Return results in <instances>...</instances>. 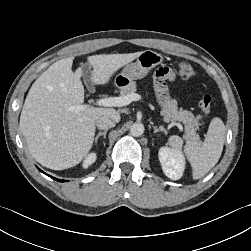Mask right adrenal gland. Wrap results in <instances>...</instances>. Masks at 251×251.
I'll list each match as a JSON object with an SVG mask.
<instances>
[{
  "label": "right adrenal gland",
  "instance_id": "1",
  "mask_svg": "<svg viewBox=\"0 0 251 251\" xmlns=\"http://www.w3.org/2000/svg\"><path fill=\"white\" fill-rule=\"evenodd\" d=\"M106 134H107V130H104L103 132H99L96 137H95V145L97 144V141L99 139L100 136H103V138H106Z\"/></svg>",
  "mask_w": 251,
  "mask_h": 251
}]
</instances>
